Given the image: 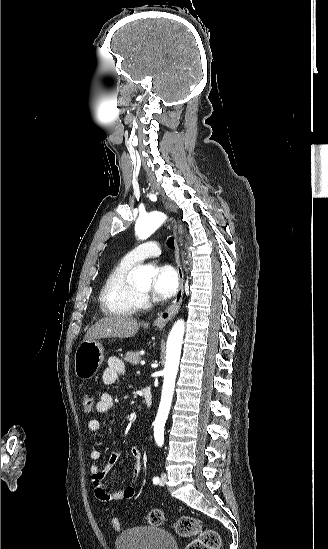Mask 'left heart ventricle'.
Returning <instances> with one entry per match:
<instances>
[{
  "label": "left heart ventricle",
  "mask_w": 328,
  "mask_h": 549,
  "mask_svg": "<svg viewBox=\"0 0 328 549\" xmlns=\"http://www.w3.org/2000/svg\"><path fill=\"white\" fill-rule=\"evenodd\" d=\"M139 289H141L143 292H147L150 290L151 282L150 281H142L140 283H134Z\"/></svg>",
  "instance_id": "obj_1"
}]
</instances>
